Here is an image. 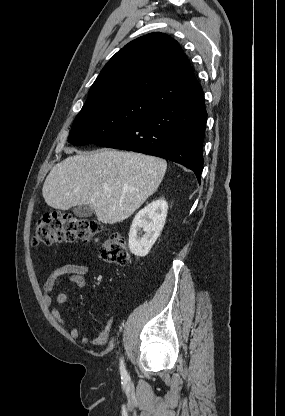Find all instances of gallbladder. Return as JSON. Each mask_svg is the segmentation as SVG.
Segmentation results:
<instances>
[{
	"label": "gallbladder",
	"mask_w": 285,
	"mask_h": 416,
	"mask_svg": "<svg viewBox=\"0 0 285 416\" xmlns=\"http://www.w3.org/2000/svg\"><path fill=\"white\" fill-rule=\"evenodd\" d=\"M73 214L78 216V218H90V216L94 214V210H92L90 206H85V204H83V206H77V208H73Z\"/></svg>",
	"instance_id": "bac80fb5"
}]
</instances>
